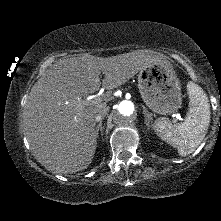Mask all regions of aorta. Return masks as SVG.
Returning <instances> with one entry per match:
<instances>
[{"label":"aorta","instance_id":"aorta-1","mask_svg":"<svg viewBox=\"0 0 221 221\" xmlns=\"http://www.w3.org/2000/svg\"><path fill=\"white\" fill-rule=\"evenodd\" d=\"M136 118V108L133 102L123 100L117 103L113 109V119L120 127L130 125Z\"/></svg>","mask_w":221,"mask_h":221}]
</instances>
